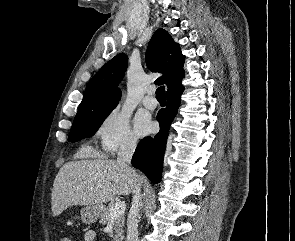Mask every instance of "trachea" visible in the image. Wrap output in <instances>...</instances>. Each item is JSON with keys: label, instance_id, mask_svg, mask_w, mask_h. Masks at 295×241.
<instances>
[{"label": "trachea", "instance_id": "obj_1", "mask_svg": "<svg viewBox=\"0 0 295 241\" xmlns=\"http://www.w3.org/2000/svg\"><path fill=\"white\" fill-rule=\"evenodd\" d=\"M156 98L158 100H165L166 99V95H165V87L161 86L156 90Z\"/></svg>", "mask_w": 295, "mask_h": 241}]
</instances>
